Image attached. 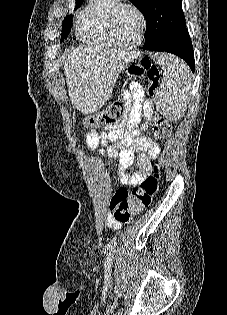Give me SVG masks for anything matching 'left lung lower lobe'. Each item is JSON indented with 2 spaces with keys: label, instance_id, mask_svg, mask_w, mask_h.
<instances>
[{
  "label": "left lung lower lobe",
  "instance_id": "obj_1",
  "mask_svg": "<svg viewBox=\"0 0 227 315\" xmlns=\"http://www.w3.org/2000/svg\"><path fill=\"white\" fill-rule=\"evenodd\" d=\"M143 48L149 51H163L173 53L184 59L190 66L191 70L194 72V52L189 33L186 28L166 37L156 44H146Z\"/></svg>",
  "mask_w": 227,
  "mask_h": 315
}]
</instances>
